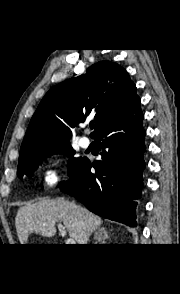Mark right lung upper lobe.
<instances>
[{
  "label": "right lung upper lobe",
  "instance_id": "cb5924a9",
  "mask_svg": "<svg viewBox=\"0 0 180 294\" xmlns=\"http://www.w3.org/2000/svg\"><path fill=\"white\" fill-rule=\"evenodd\" d=\"M139 97L126 70L109 61L98 62L85 74L54 86L42 99L28 126L19 162L37 151L69 144L70 128L96 112L92 137Z\"/></svg>",
  "mask_w": 180,
  "mask_h": 294
}]
</instances>
